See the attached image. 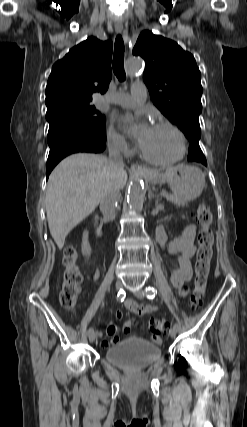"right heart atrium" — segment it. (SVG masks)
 Masks as SVG:
<instances>
[{
  "label": "right heart atrium",
  "instance_id": "1",
  "mask_svg": "<svg viewBox=\"0 0 247 427\" xmlns=\"http://www.w3.org/2000/svg\"><path fill=\"white\" fill-rule=\"evenodd\" d=\"M106 144L108 148L122 155H129L132 149L126 139L113 127L106 130Z\"/></svg>",
  "mask_w": 247,
  "mask_h": 427
}]
</instances>
